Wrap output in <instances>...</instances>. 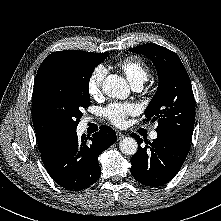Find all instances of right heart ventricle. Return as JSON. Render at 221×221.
Returning a JSON list of instances; mask_svg holds the SVG:
<instances>
[{"mask_svg": "<svg viewBox=\"0 0 221 221\" xmlns=\"http://www.w3.org/2000/svg\"><path fill=\"white\" fill-rule=\"evenodd\" d=\"M117 66L126 75L132 86H142L149 78V66L139 56H128L120 60Z\"/></svg>", "mask_w": 221, "mask_h": 221, "instance_id": "e07e8e85", "label": "right heart ventricle"}]
</instances>
